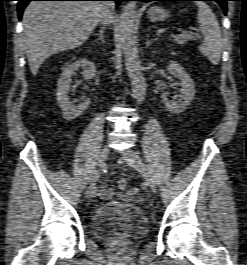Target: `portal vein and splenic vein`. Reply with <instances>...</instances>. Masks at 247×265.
I'll use <instances>...</instances> for the list:
<instances>
[{
    "label": "portal vein and splenic vein",
    "instance_id": "18ae733b",
    "mask_svg": "<svg viewBox=\"0 0 247 265\" xmlns=\"http://www.w3.org/2000/svg\"><path fill=\"white\" fill-rule=\"evenodd\" d=\"M191 34L195 35L196 37H200V35H198V34H194V33H191Z\"/></svg>",
    "mask_w": 247,
    "mask_h": 265
}]
</instances>
